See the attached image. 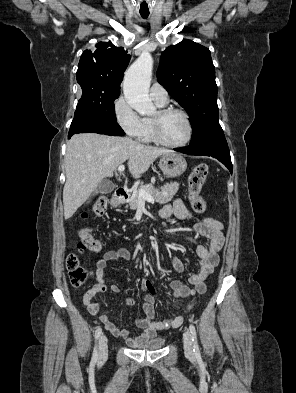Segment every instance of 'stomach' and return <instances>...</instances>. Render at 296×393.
Instances as JSON below:
<instances>
[{
    "mask_svg": "<svg viewBox=\"0 0 296 393\" xmlns=\"http://www.w3.org/2000/svg\"><path fill=\"white\" fill-rule=\"evenodd\" d=\"M159 167L167 177H178L187 168L186 160L177 153H168L161 156Z\"/></svg>",
    "mask_w": 296,
    "mask_h": 393,
    "instance_id": "1",
    "label": "stomach"
}]
</instances>
